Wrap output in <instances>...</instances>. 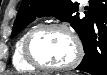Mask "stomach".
Masks as SVG:
<instances>
[{
	"mask_svg": "<svg viewBox=\"0 0 107 75\" xmlns=\"http://www.w3.org/2000/svg\"><path fill=\"white\" fill-rule=\"evenodd\" d=\"M65 75H77V74H73V73H70V74H69V73H68V74H65Z\"/></svg>",
	"mask_w": 107,
	"mask_h": 75,
	"instance_id": "0dacf381",
	"label": "stomach"
}]
</instances>
